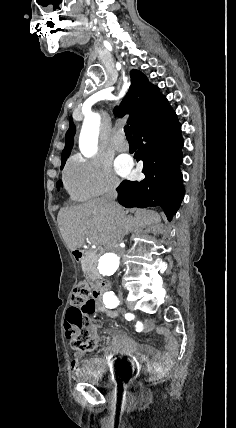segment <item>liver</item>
I'll list each match as a JSON object with an SVG mask.
<instances>
[{
	"mask_svg": "<svg viewBox=\"0 0 236 428\" xmlns=\"http://www.w3.org/2000/svg\"><path fill=\"white\" fill-rule=\"evenodd\" d=\"M119 212L120 214L117 210L113 212L107 208L105 198H94L80 206L63 208L57 216V222L71 252L82 248L86 238L94 246H104L106 250H111L136 228L149 226L154 236L160 232L161 216L153 210H139L136 216H129L119 206Z\"/></svg>",
	"mask_w": 236,
	"mask_h": 428,
	"instance_id": "obj_1",
	"label": "liver"
}]
</instances>
